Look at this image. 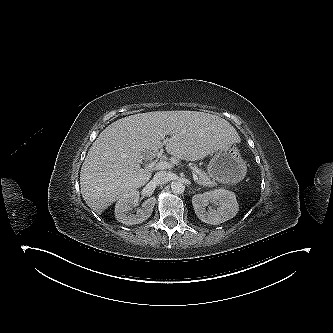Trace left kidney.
I'll list each match as a JSON object with an SVG mask.
<instances>
[{"instance_id": "obj_1", "label": "left kidney", "mask_w": 333, "mask_h": 333, "mask_svg": "<svg viewBox=\"0 0 333 333\" xmlns=\"http://www.w3.org/2000/svg\"><path fill=\"white\" fill-rule=\"evenodd\" d=\"M214 202L218 205L216 209L206 207ZM192 205L197 217L207 224L217 225L235 217L239 211L236 195L226 189H215L213 191L196 194L192 197Z\"/></svg>"}]
</instances>
